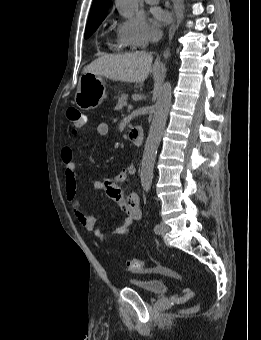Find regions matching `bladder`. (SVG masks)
Listing matches in <instances>:
<instances>
[{
    "label": "bladder",
    "instance_id": "obj_1",
    "mask_svg": "<svg viewBox=\"0 0 261 340\" xmlns=\"http://www.w3.org/2000/svg\"><path fill=\"white\" fill-rule=\"evenodd\" d=\"M129 285L151 296L164 295L168 290V282L161 278L130 279Z\"/></svg>",
    "mask_w": 261,
    "mask_h": 340
}]
</instances>
